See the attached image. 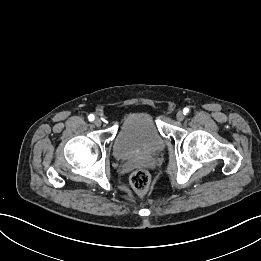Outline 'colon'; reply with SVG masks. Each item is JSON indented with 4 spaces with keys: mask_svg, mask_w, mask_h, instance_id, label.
<instances>
[{
    "mask_svg": "<svg viewBox=\"0 0 261 261\" xmlns=\"http://www.w3.org/2000/svg\"><path fill=\"white\" fill-rule=\"evenodd\" d=\"M130 182L133 189L139 193H145L150 184V175L146 170H135L130 177Z\"/></svg>",
    "mask_w": 261,
    "mask_h": 261,
    "instance_id": "obj_1",
    "label": "colon"
}]
</instances>
